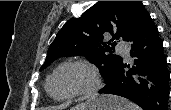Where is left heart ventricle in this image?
I'll return each instance as SVG.
<instances>
[{"instance_id":"left-heart-ventricle-1","label":"left heart ventricle","mask_w":171,"mask_h":110,"mask_svg":"<svg viewBox=\"0 0 171 110\" xmlns=\"http://www.w3.org/2000/svg\"><path fill=\"white\" fill-rule=\"evenodd\" d=\"M89 73L80 67H67L60 70L50 83V90L56 97H64L90 84Z\"/></svg>"}]
</instances>
